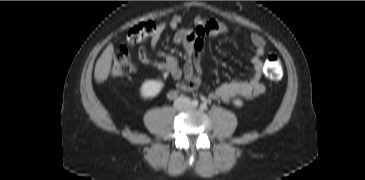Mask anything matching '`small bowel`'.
Instances as JSON below:
<instances>
[{"instance_id":"1","label":"small bowel","mask_w":365,"mask_h":180,"mask_svg":"<svg viewBox=\"0 0 365 180\" xmlns=\"http://www.w3.org/2000/svg\"><path fill=\"white\" fill-rule=\"evenodd\" d=\"M191 21L194 25L193 28H179L183 18L175 15L169 21L157 25L155 34L150 38V48L153 54L160 59L151 58L145 48H140L138 51V57L143 64L168 73L174 79L185 78L187 82L179 84V89L182 91H191L205 86L199 70L204 40L227 35L231 32L227 25L214 19L197 16L192 18ZM166 28L175 31L173 41L184 49L186 61L183 68L180 67L176 57L165 54L159 48V40ZM250 41L254 52L251 57L253 66L251 78L244 81H230L219 84L211 94L213 98L230 102L237 98L253 99L265 92V85L262 82L264 63L261 57L265 53L266 41L259 34H252ZM174 95V92L170 94L171 97Z\"/></svg>"}]
</instances>
